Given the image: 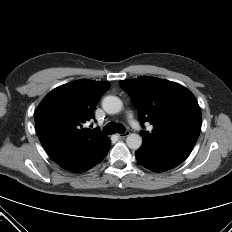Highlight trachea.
<instances>
[{"label":"trachea","instance_id":"3493384b","mask_svg":"<svg viewBox=\"0 0 232 232\" xmlns=\"http://www.w3.org/2000/svg\"><path fill=\"white\" fill-rule=\"evenodd\" d=\"M114 133H125V126L120 123L109 122L103 130L104 135H111Z\"/></svg>","mask_w":232,"mask_h":232}]
</instances>
